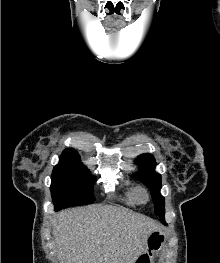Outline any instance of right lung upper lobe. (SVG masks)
<instances>
[{
    "mask_svg": "<svg viewBox=\"0 0 220 263\" xmlns=\"http://www.w3.org/2000/svg\"><path fill=\"white\" fill-rule=\"evenodd\" d=\"M63 155H78V153L75 150H73V149H66L63 152Z\"/></svg>",
    "mask_w": 220,
    "mask_h": 263,
    "instance_id": "right-lung-upper-lobe-1",
    "label": "right lung upper lobe"
}]
</instances>
